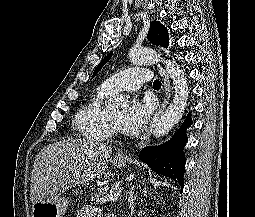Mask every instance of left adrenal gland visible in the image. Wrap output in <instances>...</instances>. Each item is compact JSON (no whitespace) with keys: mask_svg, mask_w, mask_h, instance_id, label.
<instances>
[{"mask_svg":"<svg viewBox=\"0 0 255 217\" xmlns=\"http://www.w3.org/2000/svg\"><path fill=\"white\" fill-rule=\"evenodd\" d=\"M134 190H135V185H132V187L130 188V190L128 192V203H129L130 215L131 216L134 213V206H133V202L135 200Z\"/></svg>","mask_w":255,"mask_h":217,"instance_id":"obj_1","label":"left adrenal gland"}]
</instances>
